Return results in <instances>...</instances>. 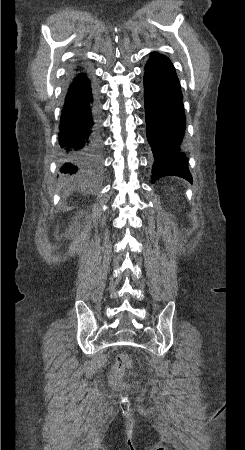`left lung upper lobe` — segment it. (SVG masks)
Returning <instances> with one entry per match:
<instances>
[{"label":"left lung upper lobe","instance_id":"left-lung-upper-lobe-1","mask_svg":"<svg viewBox=\"0 0 245 450\" xmlns=\"http://www.w3.org/2000/svg\"><path fill=\"white\" fill-rule=\"evenodd\" d=\"M160 54H158V53H156V52H153V56L152 57H155V56H159Z\"/></svg>","mask_w":245,"mask_h":450}]
</instances>
